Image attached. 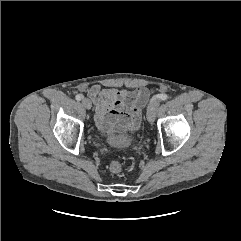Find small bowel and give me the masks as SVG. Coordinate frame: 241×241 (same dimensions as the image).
<instances>
[{
	"label": "small bowel",
	"mask_w": 241,
	"mask_h": 241,
	"mask_svg": "<svg viewBox=\"0 0 241 241\" xmlns=\"http://www.w3.org/2000/svg\"><path fill=\"white\" fill-rule=\"evenodd\" d=\"M87 94L95 106L96 126L107 134H133L139 128L142 108L150 98L145 87L128 90L93 85Z\"/></svg>",
	"instance_id": "small-bowel-1"
}]
</instances>
